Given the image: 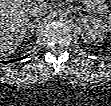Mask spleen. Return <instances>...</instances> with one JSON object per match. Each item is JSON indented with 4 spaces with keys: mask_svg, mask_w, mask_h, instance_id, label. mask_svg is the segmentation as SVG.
Masks as SVG:
<instances>
[{
    "mask_svg": "<svg viewBox=\"0 0 111 106\" xmlns=\"http://www.w3.org/2000/svg\"><path fill=\"white\" fill-rule=\"evenodd\" d=\"M109 24L111 25V22H109ZM108 30H109V32H111V27H109V29H108Z\"/></svg>",
    "mask_w": 111,
    "mask_h": 106,
    "instance_id": "1",
    "label": "spleen"
}]
</instances>
